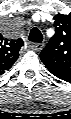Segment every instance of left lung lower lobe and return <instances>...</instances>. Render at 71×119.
<instances>
[{"instance_id": "1", "label": "left lung lower lobe", "mask_w": 71, "mask_h": 119, "mask_svg": "<svg viewBox=\"0 0 71 119\" xmlns=\"http://www.w3.org/2000/svg\"><path fill=\"white\" fill-rule=\"evenodd\" d=\"M50 73H52L54 76L58 77L59 79H62L65 81H71V74L69 73H62L58 71H50Z\"/></svg>"}]
</instances>
